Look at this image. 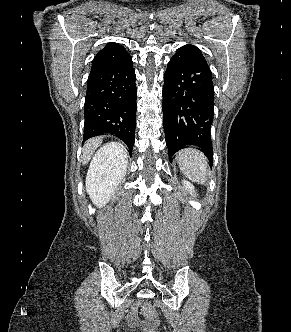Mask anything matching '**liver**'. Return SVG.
I'll return each instance as SVG.
<instances>
[{
    "instance_id": "liver-1",
    "label": "liver",
    "mask_w": 291,
    "mask_h": 332,
    "mask_svg": "<svg viewBox=\"0 0 291 332\" xmlns=\"http://www.w3.org/2000/svg\"><path fill=\"white\" fill-rule=\"evenodd\" d=\"M102 143V137H95L89 139L83 147V152H82V163L85 165L89 162L91 159L92 155L94 154L95 150L101 145ZM123 147V146H122ZM124 154L127 157V151L123 147Z\"/></svg>"
}]
</instances>
